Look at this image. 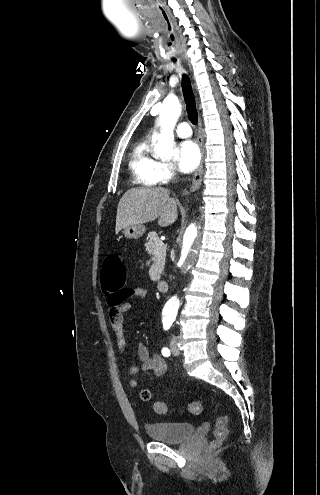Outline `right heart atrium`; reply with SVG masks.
<instances>
[{"label": "right heart atrium", "instance_id": "right-heart-atrium-1", "mask_svg": "<svg viewBox=\"0 0 320 495\" xmlns=\"http://www.w3.org/2000/svg\"><path fill=\"white\" fill-rule=\"evenodd\" d=\"M175 176V168L171 163H160L156 171V181L167 183Z\"/></svg>", "mask_w": 320, "mask_h": 495}]
</instances>
